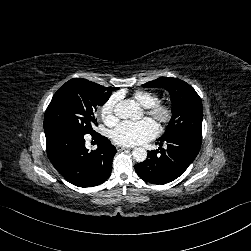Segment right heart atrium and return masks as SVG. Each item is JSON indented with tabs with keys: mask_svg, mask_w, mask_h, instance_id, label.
I'll return each mask as SVG.
<instances>
[{
	"mask_svg": "<svg viewBox=\"0 0 251 251\" xmlns=\"http://www.w3.org/2000/svg\"><path fill=\"white\" fill-rule=\"evenodd\" d=\"M117 103L118 97L116 95H111L99 107L100 118L108 126H114L118 121L116 114Z\"/></svg>",
	"mask_w": 251,
	"mask_h": 251,
	"instance_id": "1",
	"label": "right heart atrium"
}]
</instances>
